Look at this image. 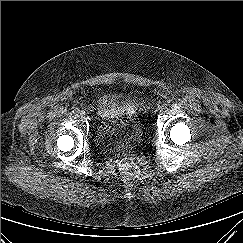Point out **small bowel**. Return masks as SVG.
<instances>
[{
  "label": "small bowel",
  "instance_id": "1",
  "mask_svg": "<svg viewBox=\"0 0 243 243\" xmlns=\"http://www.w3.org/2000/svg\"><path fill=\"white\" fill-rule=\"evenodd\" d=\"M122 94L102 95L97 102L98 113L104 118L118 119L125 114L126 107L119 105Z\"/></svg>",
  "mask_w": 243,
  "mask_h": 243
}]
</instances>
